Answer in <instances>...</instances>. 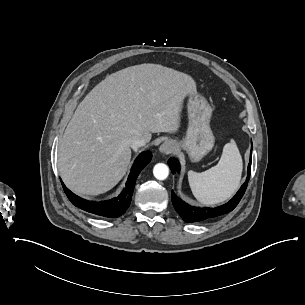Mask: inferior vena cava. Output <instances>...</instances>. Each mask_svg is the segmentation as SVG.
I'll return each mask as SVG.
<instances>
[{"label":"inferior vena cava","instance_id":"1","mask_svg":"<svg viewBox=\"0 0 305 305\" xmlns=\"http://www.w3.org/2000/svg\"><path fill=\"white\" fill-rule=\"evenodd\" d=\"M146 144V140L145 138L143 137H136L134 139H132L130 141V146L133 148V149H137L139 147H142Z\"/></svg>","mask_w":305,"mask_h":305}]
</instances>
